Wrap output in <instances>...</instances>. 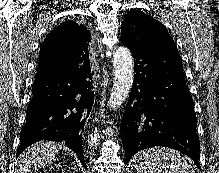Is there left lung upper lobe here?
Returning <instances> with one entry per match:
<instances>
[{
  "mask_svg": "<svg viewBox=\"0 0 219 173\" xmlns=\"http://www.w3.org/2000/svg\"><path fill=\"white\" fill-rule=\"evenodd\" d=\"M121 42L128 48L146 47L161 52H178L166 27L140 10H132L124 18Z\"/></svg>",
  "mask_w": 219,
  "mask_h": 173,
  "instance_id": "obj_1",
  "label": "left lung upper lobe"
}]
</instances>
